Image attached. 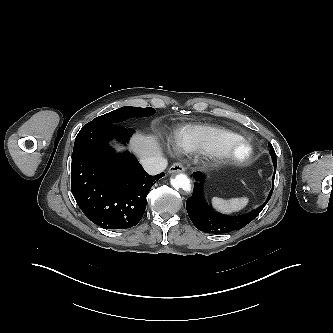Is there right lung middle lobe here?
Returning <instances> with one entry per match:
<instances>
[{"label": "right lung middle lobe", "instance_id": "dd1d6c3e", "mask_svg": "<svg viewBox=\"0 0 333 333\" xmlns=\"http://www.w3.org/2000/svg\"><path fill=\"white\" fill-rule=\"evenodd\" d=\"M155 113L153 108L125 106L95 118L91 124H117L132 117H147Z\"/></svg>", "mask_w": 333, "mask_h": 333}]
</instances>
